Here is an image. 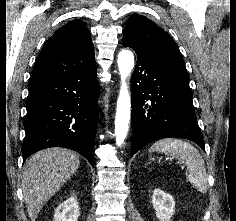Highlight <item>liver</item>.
I'll return each instance as SVG.
<instances>
[{
  "mask_svg": "<svg viewBox=\"0 0 236 221\" xmlns=\"http://www.w3.org/2000/svg\"><path fill=\"white\" fill-rule=\"evenodd\" d=\"M80 165L78 155L65 148H48L31 156L22 176L28 216L35 221L43 205L71 178Z\"/></svg>",
  "mask_w": 236,
  "mask_h": 221,
  "instance_id": "1",
  "label": "liver"
}]
</instances>
